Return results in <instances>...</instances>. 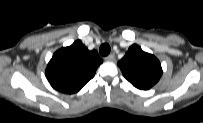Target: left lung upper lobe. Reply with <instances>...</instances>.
I'll list each match as a JSON object with an SVG mask.
<instances>
[{"label":"left lung upper lobe","instance_id":"5c2ea615","mask_svg":"<svg viewBox=\"0 0 203 123\" xmlns=\"http://www.w3.org/2000/svg\"><path fill=\"white\" fill-rule=\"evenodd\" d=\"M124 77L136 88L148 90L155 85L161 75L159 60L144 52L141 47L132 45L125 56L118 62Z\"/></svg>","mask_w":203,"mask_h":123}]
</instances>
